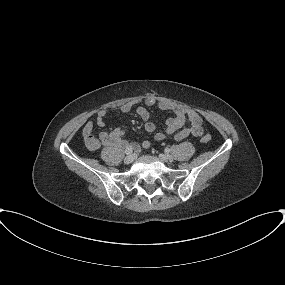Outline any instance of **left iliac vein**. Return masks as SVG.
<instances>
[{"mask_svg": "<svg viewBox=\"0 0 285 285\" xmlns=\"http://www.w3.org/2000/svg\"><path fill=\"white\" fill-rule=\"evenodd\" d=\"M159 158L163 161V162H169L172 160V157L168 154H159Z\"/></svg>", "mask_w": 285, "mask_h": 285, "instance_id": "left-iliac-vein-1", "label": "left iliac vein"}]
</instances>
